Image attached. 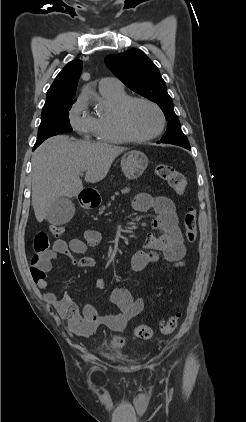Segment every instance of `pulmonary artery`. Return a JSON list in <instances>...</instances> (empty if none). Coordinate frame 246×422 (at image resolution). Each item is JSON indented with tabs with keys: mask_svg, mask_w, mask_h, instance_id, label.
<instances>
[{
	"mask_svg": "<svg viewBox=\"0 0 246 422\" xmlns=\"http://www.w3.org/2000/svg\"><path fill=\"white\" fill-rule=\"evenodd\" d=\"M122 83L112 77H105L102 78L99 82V89L100 90H116V89H122Z\"/></svg>",
	"mask_w": 246,
	"mask_h": 422,
	"instance_id": "1",
	"label": "pulmonary artery"
}]
</instances>
